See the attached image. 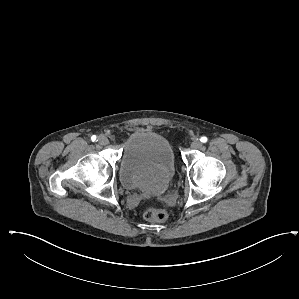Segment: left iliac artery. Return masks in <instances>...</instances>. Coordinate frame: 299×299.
<instances>
[{
	"label": "left iliac artery",
	"instance_id": "obj_1",
	"mask_svg": "<svg viewBox=\"0 0 299 299\" xmlns=\"http://www.w3.org/2000/svg\"><path fill=\"white\" fill-rule=\"evenodd\" d=\"M207 140H208V139H207V137H205V136L201 137V139H200V141L203 142V143H206Z\"/></svg>",
	"mask_w": 299,
	"mask_h": 299
}]
</instances>
